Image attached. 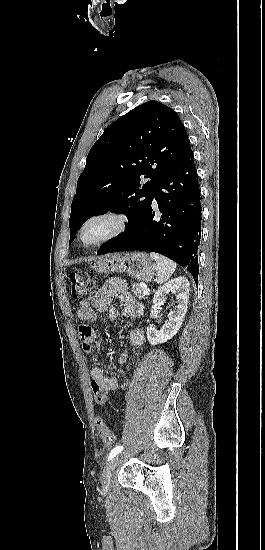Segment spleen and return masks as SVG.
<instances>
[{"label": "spleen", "instance_id": "obj_1", "mask_svg": "<svg viewBox=\"0 0 265 550\" xmlns=\"http://www.w3.org/2000/svg\"><path fill=\"white\" fill-rule=\"evenodd\" d=\"M150 256L152 259H154L157 262V268H158L157 282L159 284L166 282L170 278V276L174 273L177 267L176 263L157 253L151 252Z\"/></svg>", "mask_w": 265, "mask_h": 550}]
</instances>
